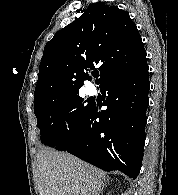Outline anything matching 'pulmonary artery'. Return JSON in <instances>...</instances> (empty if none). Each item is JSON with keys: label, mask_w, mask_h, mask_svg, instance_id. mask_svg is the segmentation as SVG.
Wrapping results in <instances>:
<instances>
[{"label": "pulmonary artery", "mask_w": 178, "mask_h": 195, "mask_svg": "<svg viewBox=\"0 0 178 195\" xmlns=\"http://www.w3.org/2000/svg\"><path fill=\"white\" fill-rule=\"evenodd\" d=\"M86 91H87V93L89 95L92 96V95H95L96 94L97 89H96L95 85H93V84L90 83V84L87 85Z\"/></svg>", "instance_id": "obj_1"}]
</instances>
